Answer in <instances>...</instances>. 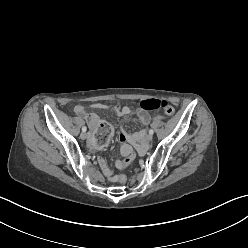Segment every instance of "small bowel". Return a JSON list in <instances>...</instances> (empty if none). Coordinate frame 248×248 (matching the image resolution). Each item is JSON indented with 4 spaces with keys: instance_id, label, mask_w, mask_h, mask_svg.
<instances>
[{
    "instance_id": "obj_1",
    "label": "small bowel",
    "mask_w": 248,
    "mask_h": 248,
    "mask_svg": "<svg viewBox=\"0 0 248 248\" xmlns=\"http://www.w3.org/2000/svg\"><path fill=\"white\" fill-rule=\"evenodd\" d=\"M91 108L93 110H110L111 108L108 105L102 104V103H94L91 105ZM114 112L118 116H125V117H137L139 122L143 125H148L151 121L148 120V117L151 116L148 112L142 110V109H137L135 111L131 110L127 106H122V107H117L113 109ZM74 113L84 117V118H89L90 113L88 112L87 108L84 106H76L74 108ZM118 139L120 142L123 143L121 147V153L122 155L126 156L127 152L129 149H132V147H137V148H143L144 147V142L146 139V131L141 130L137 133L134 134H128L124 130L120 132L118 135ZM94 140L90 138V145H94ZM121 162H117V166L119 167ZM100 165L105 173V175L108 177L110 181H115V179L112 176V169L107 166L105 161L103 159L100 160Z\"/></svg>"
}]
</instances>
